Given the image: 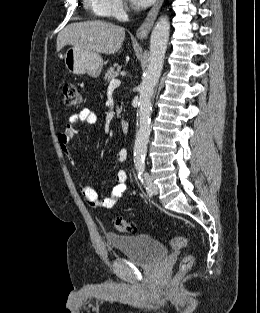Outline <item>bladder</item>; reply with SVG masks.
Instances as JSON below:
<instances>
[{
  "label": "bladder",
  "mask_w": 260,
  "mask_h": 313,
  "mask_svg": "<svg viewBox=\"0 0 260 313\" xmlns=\"http://www.w3.org/2000/svg\"><path fill=\"white\" fill-rule=\"evenodd\" d=\"M106 241L137 266H152L168 255L166 246L148 235L126 236L107 234Z\"/></svg>",
  "instance_id": "obj_1"
}]
</instances>
